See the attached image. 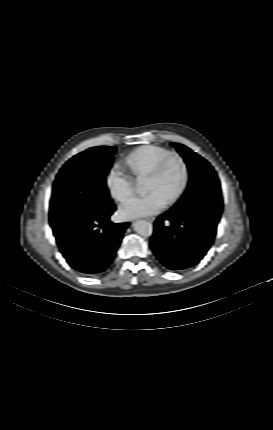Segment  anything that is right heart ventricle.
Masks as SVG:
<instances>
[{
  "mask_svg": "<svg viewBox=\"0 0 273 430\" xmlns=\"http://www.w3.org/2000/svg\"><path fill=\"white\" fill-rule=\"evenodd\" d=\"M170 153L161 146L144 145L125 156L124 164L134 176H146Z\"/></svg>",
  "mask_w": 273,
  "mask_h": 430,
  "instance_id": "1",
  "label": "right heart ventricle"
}]
</instances>
